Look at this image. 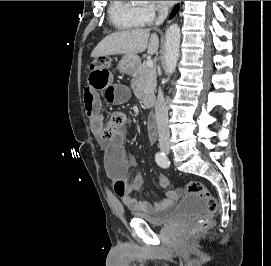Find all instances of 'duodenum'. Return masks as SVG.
<instances>
[{
	"instance_id": "duodenum-1",
	"label": "duodenum",
	"mask_w": 271,
	"mask_h": 266,
	"mask_svg": "<svg viewBox=\"0 0 271 266\" xmlns=\"http://www.w3.org/2000/svg\"><path fill=\"white\" fill-rule=\"evenodd\" d=\"M145 99L148 104H153L155 102V97L152 95L146 96Z\"/></svg>"
}]
</instances>
